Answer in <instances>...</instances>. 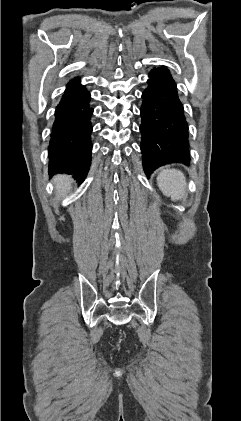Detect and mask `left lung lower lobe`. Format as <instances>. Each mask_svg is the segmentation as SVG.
<instances>
[{
  "label": "left lung lower lobe",
  "mask_w": 241,
  "mask_h": 421,
  "mask_svg": "<svg viewBox=\"0 0 241 421\" xmlns=\"http://www.w3.org/2000/svg\"><path fill=\"white\" fill-rule=\"evenodd\" d=\"M142 94L141 151L145 173L170 163L190 162L188 123L176 83L166 66L154 68Z\"/></svg>",
  "instance_id": "obj_1"
}]
</instances>
